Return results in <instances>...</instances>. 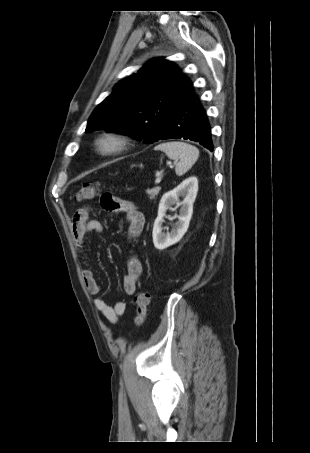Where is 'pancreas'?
<instances>
[{"mask_svg": "<svg viewBox=\"0 0 310 453\" xmlns=\"http://www.w3.org/2000/svg\"><path fill=\"white\" fill-rule=\"evenodd\" d=\"M160 190H161L160 187H155V188H152V189H147L146 193L148 194L150 200H153L159 194Z\"/></svg>", "mask_w": 310, "mask_h": 453, "instance_id": "obj_1", "label": "pancreas"}]
</instances>
